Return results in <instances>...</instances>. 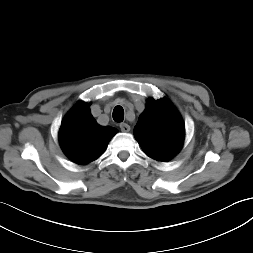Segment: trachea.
Here are the masks:
<instances>
[{"mask_svg":"<svg viewBox=\"0 0 253 253\" xmlns=\"http://www.w3.org/2000/svg\"><path fill=\"white\" fill-rule=\"evenodd\" d=\"M113 119L115 122H122L124 120V110L121 106H116L113 110Z\"/></svg>","mask_w":253,"mask_h":253,"instance_id":"1","label":"trachea"}]
</instances>
